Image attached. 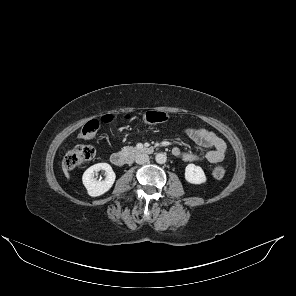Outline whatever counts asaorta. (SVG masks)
<instances>
[{
    "mask_svg": "<svg viewBox=\"0 0 296 296\" xmlns=\"http://www.w3.org/2000/svg\"><path fill=\"white\" fill-rule=\"evenodd\" d=\"M155 160L159 164H164L167 160V156L164 153H158L155 156Z\"/></svg>",
    "mask_w": 296,
    "mask_h": 296,
    "instance_id": "aorta-1",
    "label": "aorta"
}]
</instances>
